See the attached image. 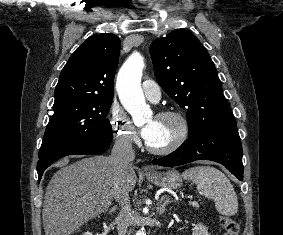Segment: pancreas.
Returning <instances> with one entry per match:
<instances>
[{
  "instance_id": "cf45deb5",
  "label": "pancreas",
  "mask_w": 283,
  "mask_h": 235,
  "mask_svg": "<svg viewBox=\"0 0 283 235\" xmlns=\"http://www.w3.org/2000/svg\"><path fill=\"white\" fill-rule=\"evenodd\" d=\"M194 207H198V204L197 205H193Z\"/></svg>"
}]
</instances>
